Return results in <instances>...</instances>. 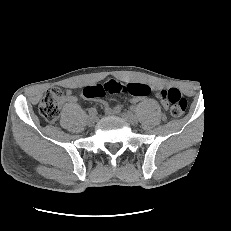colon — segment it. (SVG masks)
Listing matches in <instances>:
<instances>
[{
    "mask_svg": "<svg viewBox=\"0 0 231 231\" xmlns=\"http://www.w3.org/2000/svg\"><path fill=\"white\" fill-rule=\"evenodd\" d=\"M107 93L129 94L135 97H146L150 93V87L140 83H120L115 80L99 82L87 86L83 94L87 98H101ZM64 97V92L59 87H53L46 92L39 104L41 116L49 123H55L60 112V105ZM161 100L169 110L171 115L181 116L187 108V100L177 88H169L161 92Z\"/></svg>",
    "mask_w": 231,
    "mask_h": 231,
    "instance_id": "5ec220e1",
    "label": "colon"
}]
</instances>
